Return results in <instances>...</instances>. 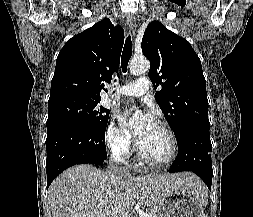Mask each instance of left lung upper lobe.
<instances>
[{
	"mask_svg": "<svg viewBox=\"0 0 253 217\" xmlns=\"http://www.w3.org/2000/svg\"><path fill=\"white\" fill-rule=\"evenodd\" d=\"M143 54L150 60L149 77L155 99L176 138L187 127L209 129L206 81L200 59L190 43L158 21L144 33Z\"/></svg>",
	"mask_w": 253,
	"mask_h": 217,
	"instance_id": "left-lung-upper-lobe-1",
	"label": "left lung upper lobe"
}]
</instances>
